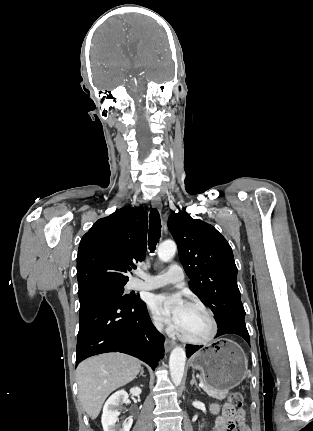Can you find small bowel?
Returning a JSON list of instances; mask_svg holds the SVG:
<instances>
[{"label":"small bowel","instance_id":"c3829d8e","mask_svg":"<svg viewBox=\"0 0 313 431\" xmlns=\"http://www.w3.org/2000/svg\"><path fill=\"white\" fill-rule=\"evenodd\" d=\"M211 411L216 415L214 431H230L231 425L235 427L236 424L240 431H251L246 423V413L244 409L237 410L229 417L224 414H219L217 405H213Z\"/></svg>","mask_w":313,"mask_h":431}]
</instances>
